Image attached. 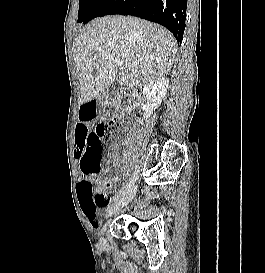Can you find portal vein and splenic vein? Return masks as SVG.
Returning a JSON list of instances; mask_svg holds the SVG:
<instances>
[{
	"label": "portal vein and splenic vein",
	"instance_id": "1",
	"mask_svg": "<svg viewBox=\"0 0 265 273\" xmlns=\"http://www.w3.org/2000/svg\"><path fill=\"white\" fill-rule=\"evenodd\" d=\"M114 62L120 69H126L128 66V63L124 61L123 59H115Z\"/></svg>",
	"mask_w": 265,
	"mask_h": 273
}]
</instances>
